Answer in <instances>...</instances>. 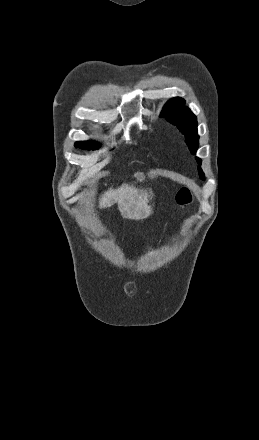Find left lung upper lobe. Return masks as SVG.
<instances>
[{
    "label": "left lung upper lobe",
    "mask_w": 259,
    "mask_h": 440,
    "mask_svg": "<svg viewBox=\"0 0 259 440\" xmlns=\"http://www.w3.org/2000/svg\"><path fill=\"white\" fill-rule=\"evenodd\" d=\"M185 101L181 98H173L169 100L163 108L160 117L166 119L172 124L176 125L179 130L185 135L189 149L192 154L196 153L198 147L199 136L197 134V120L194 114L185 106ZM199 165L201 160L196 158ZM201 179H204V174L198 167Z\"/></svg>",
    "instance_id": "1"
}]
</instances>
